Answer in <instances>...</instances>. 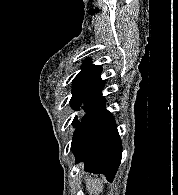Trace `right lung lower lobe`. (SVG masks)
<instances>
[{
    "label": "right lung lower lobe",
    "instance_id": "right-lung-lower-lobe-1",
    "mask_svg": "<svg viewBox=\"0 0 178 195\" xmlns=\"http://www.w3.org/2000/svg\"><path fill=\"white\" fill-rule=\"evenodd\" d=\"M75 163H85V170L104 174L113 181L122 158V142L112 114L105 108V98H96L77 126L71 143Z\"/></svg>",
    "mask_w": 178,
    "mask_h": 195
}]
</instances>
